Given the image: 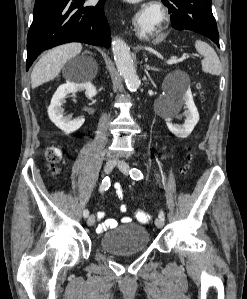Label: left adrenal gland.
<instances>
[{"label":"left adrenal gland","mask_w":247,"mask_h":299,"mask_svg":"<svg viewBox=\"0 0 247 299\" xmlns=\"http://www.w3.org/2000/svg\"><path fill=\"white\" fill-rule=\"evenodd\" d=\"M145 69L146 70H152V71H159V69H157L155 67H150L147 63L145 64Z\"/></svg>","instance_id":"obj_1"}]
</instances>
